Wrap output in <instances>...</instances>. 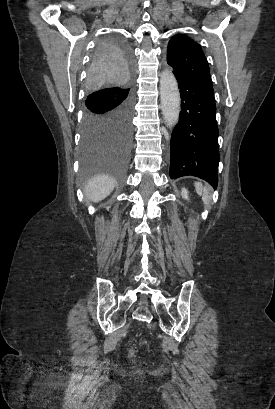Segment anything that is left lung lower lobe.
<instances>
[{
	"label": "left lung lower lobe",
	"instance_id": "0a47b994",
	"mask_svg": "<svg viewBox=\"0 0 275 409\" xmlns=\"http://www.w3.org/2000/svg\"><path fill=\"white\" fill-rule=\"evenodd\" d=\"M181 97L178 124L171 135L170 177L196 176L218 184V126L213 87L175 75Z\"/></svg>",
	"mask_w": 275,
	"mask_h": 409
}]
</instances>
